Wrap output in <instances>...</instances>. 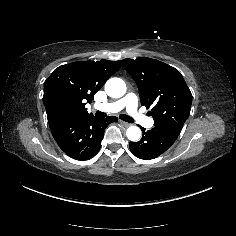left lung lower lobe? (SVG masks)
<instances>
[{
	"instance_id": "0a47b994",
	"label": "left lung lower lobe",
	"mask_w": 236,
	"mask_h": 236,
	"mask_svg": "<svg viewBox=\"0 0 236 236\" xmlns=\"http://www.w3.org/2000/svg\"><path fill=\"white\" fill-rule=\"evenodd\" d=\"M138 142H130L131 152L144 160L155 159L167 151L179 136L181 129L173 126L155 125L152 130L145 131Z\"/></svg>"
}]
</instances>
